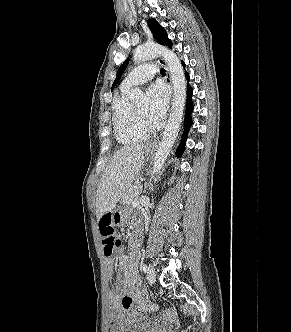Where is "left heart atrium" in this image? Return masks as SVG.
Returning <instances> with one entry per match:
<instances>
[{
    "label": "left heart atrium",
    "instance_id": "obj_1",
    "mask_svg": "<svg viewBox=\"0 0 291 332\" xmlns=\"http://www.w3.org/2000/svg\"><path fill=\"white\" fill-rule=\"evenodd\" d=\"M149 105L147 109V118L151 123H159L167 110L168 91L163 84L155 83L148 89Z\"/></svg>",
    "mask_w": 291,
    "mask_h": 332
}]
</instances>
